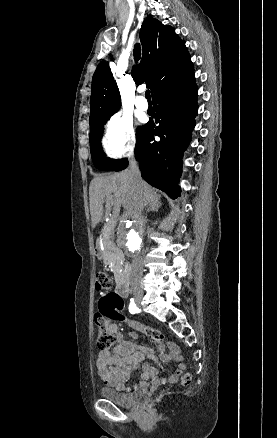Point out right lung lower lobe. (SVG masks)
<instances>
[{
	"mask_svg": "<svg viewBox=\"0 0 277 438\" xmlns=\"http://www.w3.org/2000/svg\"><path fill=\"white\" fill-rule=\"evenodd\" d=\"M198 90L192 68L182 77L165 83L152 96L157 112L156 123H147L137 135L136 159L142 177L150 185L175 199L180 195L177 181L181 176L182 154L190 143L197 115ZM154 135L160 141L154 140ZM128 166L125 159L115 171Z\"/></svg>",
	"mask_w": 277,
	"mask_h": 438,
	"instance_id": "right-lung-lower-lobe-1",
	"label": "right lung lower lobe"
}]
</instances>
